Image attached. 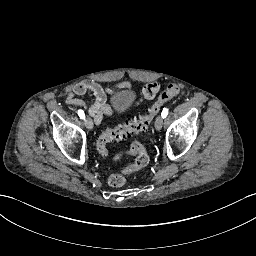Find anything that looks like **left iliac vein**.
<instances>
[{
  "mask_svg": "<svg viewBox=\"0 0 256 256\" xmlns=\"http://www.w3.org/2000/svg\"><path fill=\"white\" fill-rule=\"evenodd\" d=\"M163 117L162 116H158L157 118H156V121H155V128H156V130L157 131H160L161 130V128H162V126H163Z\"/></svg>",
  "mask_w": 256,
  "mask_h": 256,
  "instance_id": "4c4485c4",
  "label": "left iliac vein"
}]
</instances>
